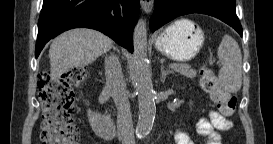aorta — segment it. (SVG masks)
Here are the masks:
<instances>
[{"mask_svg":"<svg viewBox=\"0 0 273 144\" xmlns=\"http://www.w3.org/2000/svg\"><path fill=\"white\" fill-rule=\"evenodd\" d=\"M133 46L136 92L139 105L136 136L143 139L152 130L156 115L155 91L153 90L147 56V26L144 19H139L134 28Z\"/></svg>","mask_w":273,"mask_h":144,"instance_id":"obj_1","label":"aorta"}]
</instances>
